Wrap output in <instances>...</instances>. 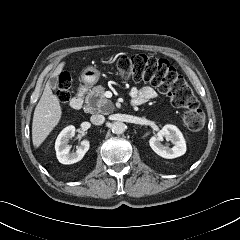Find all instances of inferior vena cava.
Wrapping results in <instances>:
<instances>
[{
	"mask_svg": "<svg viewBox=\"0 0 240 240\" xmlns=\"http://www.w3.org/2000/svg\"><path fill=\"white\" fill-rule=\"evenodd\" d=\"M90 121L94 125H101V124L104 123L105 117L103 115H101V114H95V115L91 116Z\"/></svg>",
	"mask_w": 240,
	"mask_h": 240,
	"instance_id": "obj_1",
	"label": "inferior vena cava"
}]
</instances>
